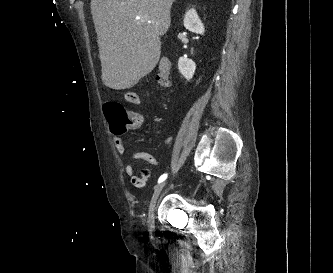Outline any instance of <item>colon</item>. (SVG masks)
<instances>
[{"instance_id":"obj_1","label":"colon","mask_w":333,"mask_h":273,"mask_svg":"<svg viewBox=\"0 0 333 273\" xmlns=\"http://www.w3.org/2000/svg\"><path fill=\"white\" fill-rule=\"evenodd\" d=\"M171 65L170 62L163 58L160 60L156 73L157 82L163 86L170 85ZM104 113L110 124V127L115 132H123L128 126L134 123V118L130 112L117 102H107L104 104ZM149 176L148 170H142L138 178L139 181L145 183Z\"/></svg>"}]
</instances>
